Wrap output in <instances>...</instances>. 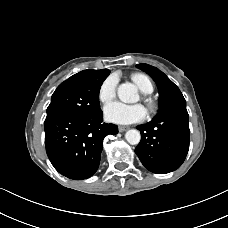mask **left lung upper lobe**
<instances>
[{
  "instance_id": "left-lung-upper-lobe-1",
  "label": "left lung upper lobe",
  "mask_w": 228,
  "mask_h": 228,
  "mask_svg": "<svg viewBox=\"0 0 228 228\" xmlns=\"http://www.w3.org/2000/svg\"><path fill=\"white\" fill-rule=\"evenodd\" d=\"M136 67L151 76L157 84L160 94V110L155 118L177 104L186 103L179 88L158 68L148 64H138Z\"/></svg>"
}]
</instances>
